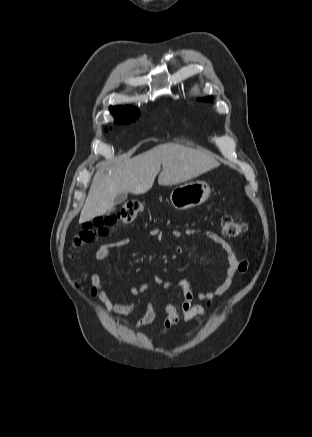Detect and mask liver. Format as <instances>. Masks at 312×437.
Listing matches in <instances>:
<instances>
[{
    "label": "liver",
    "instance_id": "obj_1",
    "mask_svg": "<svg viewBox=\"0 0 312 437\" xmlns=\"http://www.w3.org/2000/svg\"><path fill=\"white\" fill-rule=\"evenodd\" d=\"M158 177L162 186L186 182L219 167L220 163L206 151L177 143L160 144L153 149L117 164L98 170L80 214L79 222H87L114 205L122 192L144 194Z\"/></svg>",
    "mask_w": 312,
    "mask_h": 437
}]
</instances>
